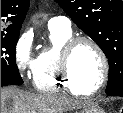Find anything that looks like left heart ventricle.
Masks as SVG:
<instances>
[{
  "label": "left heart ventricle",
  "instance_id": "b2bd125f",
  "mask_svg": "<svg viewBox=\"0 0 123 113\" xmlns=\"http://www.w3.org/2000/svg\"><path fill=\"white\" fill-rule=\"evenodd\" d=\"M70 69L74 83L88 91L95 88L101 78V60L95 49L87 43L80 44L75 50Z\"/></svg>",
  "mask_w": 123,
  "mask_h": 113
}]
</instances>
